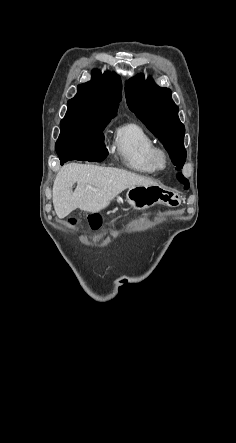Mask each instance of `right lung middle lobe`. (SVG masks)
Segmentation results:
<instances>
[{"label":"right lung middle lobe","mask_w":236,"mask_h":443,"mask_svg":"<svg viewBox=\"0 0 236 443\" xmlns=\"http://www.w3.org/2000/svg\"><path fill=\"white\" fill-rule=\"evenodd\" d=\"M112 115L66 113L61 120V133L56 142V152L64 147L80 145H104L102 131Z\"/></svg>","instance_id":"1"}]
</instances>
